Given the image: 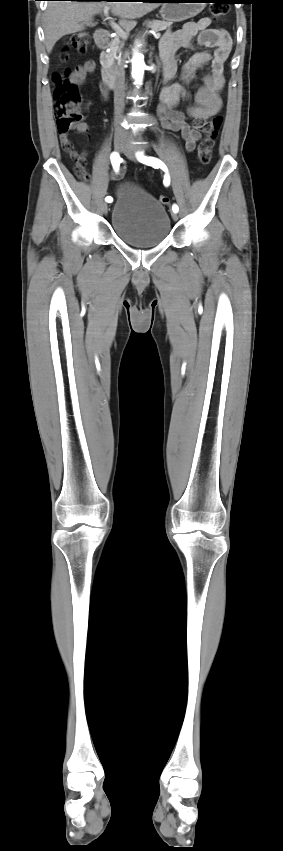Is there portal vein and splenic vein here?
<instances>
[{
    "label": "portal vein and splenic vein",
    "mask_w": 283,
    "mask_h": 851,
    "mask_svg": "<svg viewBox=\"0 0 283 851\" xmlns=\"http://www.w3.org/2000/svg\"><path fill=\"white\" fill-rule=\"evenodd\" d=\"M104 15L106 16V19L110 21V25H111V27H112V28H113V29H114V30H115V31H116V32H117V33H118V34H119L122 38L126 39V38H127V32H126V31H124V30H123V29H122L119 25H117L115 22H113V21L111 20V18L109 17V8H108V7H105V8H104ZM159 38H160V33L155 34V39H159Z\"/></svg>",
    "instance_id": "portal-vein-and-splenic-vein-1"
}]
</instances>
